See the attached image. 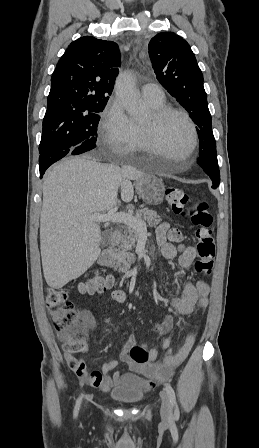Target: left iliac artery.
<instances>
[{
  "label": "left iliac artery",
  "mask_w": 259,
  "mask_h": 448,
  "mask_svg": "<svg viewBox=\"0 0 259 448\" xmlns=\"http://www.w3.org/2000/svg\"><path fill=\"white\" fill-rule=\"evenodd\" d=\"M165 390H166L167 395L169 397L170 405H171L172 408H174L175 418L178 419L179 418V409H178V405H177V402H176L175 392H174V390H173V388L171 387L170 384H166Z\"/></svg>",
  "instance_id": "44dca946"
}]
</instances>
